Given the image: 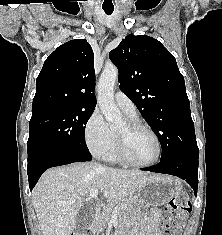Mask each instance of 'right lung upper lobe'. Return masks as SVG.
Wrapping results in <instances>:
<instances>
[{"label": "right lung upper lobe", "mask_w": 222, "mask_h": 235, "mask_svg": "<svg viewBox=\"0 0 222 235\" xmlns=\"http://www.w3.org/2000/svg\"><path fill=\"white\" fill-rule=\"evenodd\" d=\"M94 54L85 39L59 46L44 62L36 81L33 112L53 105L96 106Z\"/></svg>", "instance_id": "right-lung-upper-lobe-1"}]
</instances>
